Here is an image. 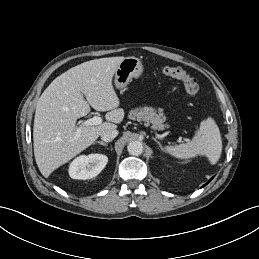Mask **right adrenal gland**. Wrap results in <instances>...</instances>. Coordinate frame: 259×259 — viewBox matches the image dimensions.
Returning <instances> with one entry per match:
<instances>
[{
	"label": "right adrenal gland",
	"mask_w": 259,
	"mask_h": 259,
	"mask_svg": "<svg viewBox=\"0 0 259 259\" xmlns=\"http://www.w3.org/2000/svg\"><path fill=\"white\" fill-rule=\"evenodd\" d=\"M95 143H99L100 145H103V146H107L108 145V143H105V142H103V141H96ZM94 143V144H95Z\"/></svg>",
	"instance_id": "obj_1"
}]
</instances>
